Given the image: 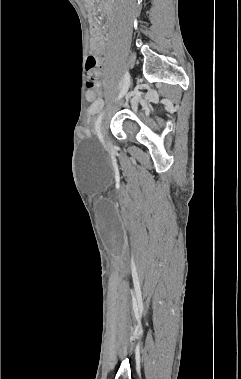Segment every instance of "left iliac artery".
<instances>
[{
	"mask_svg": "<svg viewBox=\"0 0 241 379\" xmlns=\"http://www.w3.org/2000/svg\"><path fill=\"white\" fill-rule=\"evenodd\" d=\"M129 85H130V74H129V71L126 70L125 71V74H124V83H123V87L117 97V99H120L122 98L128 91V88H129ZM104 116V111H102L96 121H95V131H96V134L98 135V138L100 139L101 142H103V136H102V133H101V121H102V118Z\"/></svg>",
	"mask_w": 241,
	"mask_h": 379,
	"instance_id": "1",
	"label": "left iliac artery"
}]
</instances>
